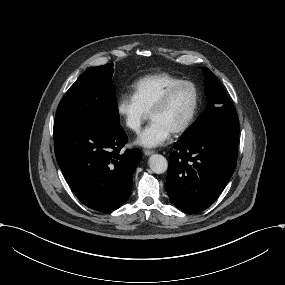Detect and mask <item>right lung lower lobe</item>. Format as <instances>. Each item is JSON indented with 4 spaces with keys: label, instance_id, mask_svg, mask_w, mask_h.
I'll return each mask as SVG.
<instances>
[{
    "label": "right lung lower lobe",
    "instance_id": "98d812e1",
    "mask_svg": "<svg viewBox=\"0 0 285 285\" xmlns=\"http://www.w3.org/2000/svg\"><path fill=\"white\" fill-rule=\"evenodd\" d=\"M126 142L120 126L54 124L57 163L74 194L89 208L113 211L127 200L142 156L138 149L120 153Z\"/></svg>",
    "mask_w": 285,
    "mask_h": 285
}]
</instances>
